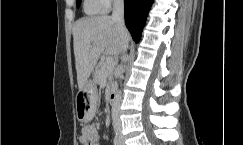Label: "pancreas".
I'll return each mask as SVG.
<instances>
[{"mask_svg":"<svg viewBox=\"0 0 243 145\" xmlns=\"http://www.w3.org/2000/svg\"><path fill=\"white\" fill-rule=\"evenodd\" d=\"M113 73H114V66L111 67L110 69H105V61H100L95 69V74H94L95 82L101 83V82H106L107 80L109 82H112Z\"/></svg>","mask_w":243,"mask_h":145,"instance_id":"1","label":"pancreas"}]
</instances>
